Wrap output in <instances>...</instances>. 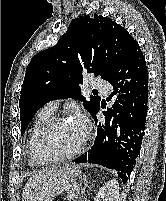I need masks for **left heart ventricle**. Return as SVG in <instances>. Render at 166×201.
Instances as JSON below:
<instances>
[{
	"instance_id": "obj_1",
	"label": "left heart ventricle",
	"mask_w": 166,
	"mask_h": 201,
	"mask_svg": "<svg viewBox=\"0 0 166 201\" xmlns=\"http://www.w3.org/2000/svg\"><path fill=\"white\" fill-rule=\"evenodd\" d=\"M83 139L71 121H62L49 129L42 138L43 152L66 154L74 151Z\"/></svg>"
}]
</instances>
